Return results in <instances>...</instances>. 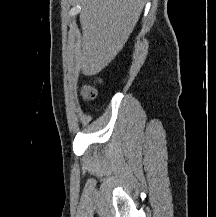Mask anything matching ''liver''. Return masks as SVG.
Segmentation results:
<instances>
[{
	"label": "liver",
	"instance_id": "6515ba94",
	"mask_svg": "<svg viewBox=\"0 0 216 217\" xmlns=\"http://www.w3.org/2000/svg\"><path fill=\"white\" fill-rule=\"evenodd\" d=\"M82 49L76 64L95 75L122 50L144 7V0H81Z\"/></svg>",
	"mask_w": 216,
	"mask_h": 217
}]
</instances>
